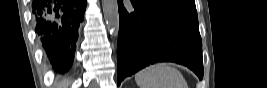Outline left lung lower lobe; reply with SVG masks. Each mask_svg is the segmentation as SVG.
<instances>
[{"mask_svg": "<svg viewBox=\"0 0 267 88\" xmlns=\"http://www.w3.org/2000/svg\"><path fill=\"white\" fill-rule=\"evenodd\" d=\"M118 0V85L127 76L156 62L183 64L203 77L202 41L198 19L183 14L147 10L132 1L127 12Z\"/></svg>", "mask_w": 267, "mask_h": 88, "instance_id": "1", "label": "left lung lower lobe"}]
</instances>
